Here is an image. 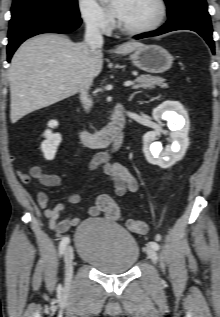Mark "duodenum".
I'll return each instance as SVG.
<instances>
[{"label": "duodenum", "mask_w": 220, "mask_h": 317, "mask_svg": "<svg viewBox=\"0 0 220 317\" xmlns=\"http://www.w3.org/2000/svg\"><path fill=\"white\" fill-rule=\"evenodd\" d=\"M124 124L123 105L118 104L111 121L104 129L90 132L80 128L76 130V137L84 146L89 148H103L107 145L118 148L124 139Z\"/></svg>", "instance_id": "1"}]
</instances>
